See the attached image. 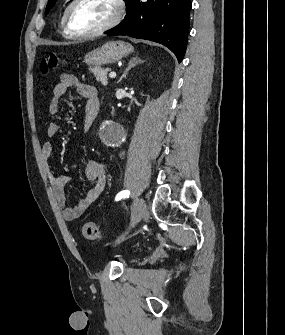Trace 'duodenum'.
Returning a JSON list of instances; mask_svg holds the SVG:
<instances>
[{"instance_id":"obj_1","label":"duodenum","mask_w":285,"mask_h":335,"mask_svg":"<svg viewBox=\"0 0 285 335\" xmlns=\"http://www.w3.org/2000/svg\"><path fill=\"white\" fill-rule=\"evenodd\" d=\"M99 112V105H95L89 112L91 118H95Z\"/></svg>"}]
</instances>
